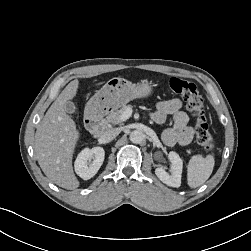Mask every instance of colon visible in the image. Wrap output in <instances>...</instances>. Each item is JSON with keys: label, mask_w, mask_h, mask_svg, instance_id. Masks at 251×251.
I'll use <instances>...</instances> for the list:
<instances>
[{"label": "colon", "mask_w": 251, "mask_h": 251, "mask_svg": "<svg viewBox=\"0 0 251 251\" xmlns=\"http://www.w3.org/2000/svg\"><path fill=\"white\" fill-rule=\"evenodd\" d=\"M168 87L173 93L182 96L186 101L187 108L195 120L197 142L207 151L214 149L215 140L209 131L203 99L197 86L191 81L173 77L169 80Z\"/></svg>", "instance_id": "obj_1"}]
</instances>
